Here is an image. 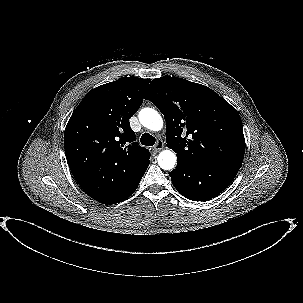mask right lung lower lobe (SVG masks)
I'll return each mask as SVG.
<instances>
[{
  "mask_svg": "<svg viewBox=\"0 0 303 303\" xmlns=\"http://www.w3.org/2000/svg\"><path fill=\"white\" fill-rule=\"evenodd\" d=\"M146 169L129 186H127L121 192L117 193L116 195H114L100 203H103L106 205H111V204H116L118 202H121V201L127 199L138 187L139 182H140L142 176L144 175Z\"/></svg>",
  "mask_w": 303,
  "mask_h": 303,
  "instance_id": "1",
  "label": "right lung lower lobe"
}]
</instances>
